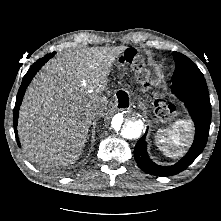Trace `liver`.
Returning a JSON list of instances; mask_svg holds the SVG:
<instances>
[{
  "mask_svg": "<svg viewBox=\"0 0 221 221\" xmlns=\"http://www.w3.org/2000/svg\"><path fill=\"white\" fill-rule=\"evenodd\" d=\"M121 47H91L50 60L33 79L19 112L26 155L40 163L73 164L89 128L107 110L105 91Z\"/></svg>",
  "mask_w": 221,
  "mask_h": 221,
  "instance_id": "obj_1",
  "label": "liver"
}]
</instances>
